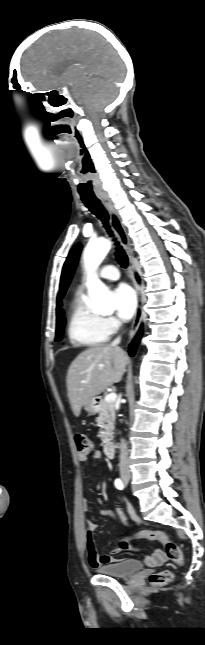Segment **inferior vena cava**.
<instances>
[{"label": "inferior vena cava", "instance_id": "inferior-vena-cava-1", "mask_svg": "<svg viewBox=\"0 0 205 645\" xmlns=\"http://www.w3.org/2000/svg\"><path fill=\"white\" fill-rule=\"evenodd\" d=\"M120 341H121V337L118 336L117 338H115L112 341L111 345L112 346H117L120 343ZM119 458H120V463H119L120 471L121 472H129L130 470H129L128 447H127V443H126V441L124 439H121L120 457Z\"/></svg>", "mask_w": 205, "mask_h": 645}]
</instances>
